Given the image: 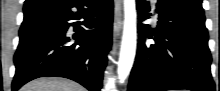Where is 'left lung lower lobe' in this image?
<instances>
[{"label": "left lung lower lobe", "instance_id": "0a47b994", "mask_svg": "<svg viewBox=\"0 0 220 91\" xmlns=\"http://www.w3.org/2000/svg\"><path fill=\"white\" fill-rule=\"evenodd\" d=\"M149 10L146 0H137L139 20ZM157 12V29L143 25L139 33L128 91H214L204 13L166 0H158Z\"/></svg>", "mask_w": 220, "mask_h": 91}]
</instances>
